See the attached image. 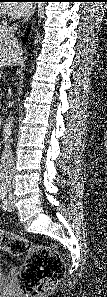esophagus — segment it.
<instances>
[{"label": "esophagus", "mask_w": 107, "mask_h": 297, "mask_svg": "<svg viewBox=\"0 0 107 297\" xmlns=\"http://www.w3.org/2000/svg\"><path fill=\"white\" fill-rule=\"evenodd\" d=\"M35 10H36V5H32L31 9L29 10V13L26 16V19H25L26 21L31 19V17L33 16Z\"/></svg>", "instance_id": "34e87169"}]
</instances>
